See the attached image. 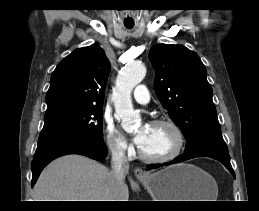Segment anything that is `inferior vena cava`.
I'll return each mask as SVG.
<instances>
[{"label": "inferior vena cava", "mask_w": 259, "mask_h": 211, "mask_svg": "<svg viewBox=\"0 0 259 211\" xmlns=\"http://www.w3.org/2000/svg\"><path fill=\"white\" fill-rule=\"evenodd\" d=\"M112 170L110 172L112 185L119 187L124 183L125 177L129 170V162L126 157L125 151L118 146L112 147V159H111ZM112 201L118 199H111Z\"/></svg>", "instance_id": "602c4592"}]
</instances>
